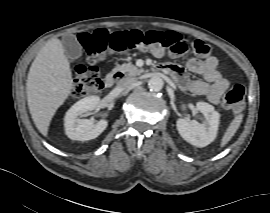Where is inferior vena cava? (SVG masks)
Instances as JSON below:
<instances>
[{
  "mask_svg": "<svg viewBox=\"0 0 270 213\" xmlns=\"http://www.w3.org/2000/svg\"><path fill=\"white\" fill-rule=\"evenodd\" d=\"M136 81V78H123L117 83V88L120 90H124L133 85Z\"/></svg>",
  "mask_w": 270,
  "mask_h": 213,
  "instance_id": "obj_1",
  "label": "inferior vena cava"
}]
</instances>
